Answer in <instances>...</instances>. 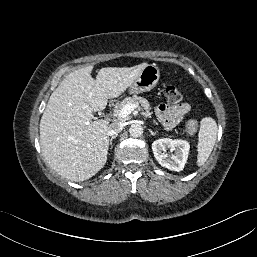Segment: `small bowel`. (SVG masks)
Segmentation results:
<instances>
[{
	"label": "small bowel",
	"mask_w": 257,
	"mask_h": 257,
	"mask_svg": "<svg viewBox=\"0 0 257 257\" xmlns=\"http://www.w3.org/2000/svg\"><path fill=\"white\" fill-rule=\"evenodd\" d=\"M190 111L187 103H179L175 105H159L156 108V114L166 128L174 127L180 122Z\"/></svg>",
	"instance_id": "1"
}]
</instances>
